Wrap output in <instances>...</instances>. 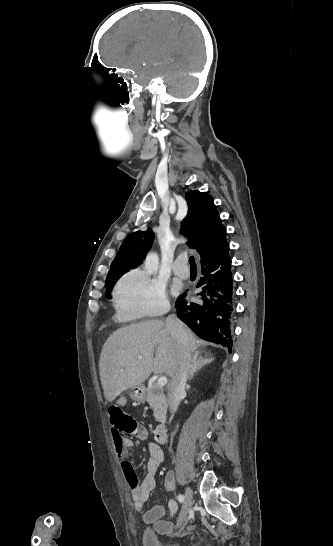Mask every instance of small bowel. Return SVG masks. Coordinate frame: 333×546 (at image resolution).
<instances>
[{
	"label": "small bowel",
	"mask_w": 333,
	"mask_h": 546,
	"mask_svg": "<svg viewBox=\"0 0 333 546\" xmlns=\"http://www.w3.org/2000/svg\"><path fill=\"white\" fill-rule=\"evenodd\" d=\"M125 397H120L122 407L125 405ZM124 417L133 426L131 434L136 435L139 438L146 437V431L137 425L136 421L123 412ZM111 421V434L113 440V446L117 457L119 458L120 465L126 478L134 501V508L136 512L142 517L146 523H156L157 530L161 533L172 532L175 526L170 521L178 509V503L175 500H170L168 503L169 513L166 515L162 506H156L151 510H145L144 503L148 500L150 493L155 486V475L157 469L164 460V453L162 448L152 442L149 444L150 457L146 463L145 474L142 480L139 482L137 475L133 469V466L128 459V449L133 445V440L130 437L123 436L121 427L118 422L113 418ZM172 478L168 477L166 480V486L171 487Z\"/></svg>",
	"instance_id": "c3829d8e"
}]
</instances>
